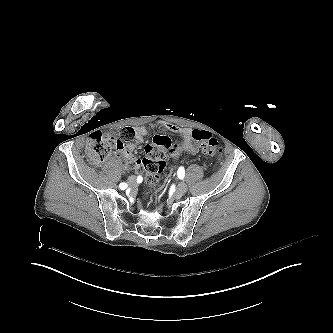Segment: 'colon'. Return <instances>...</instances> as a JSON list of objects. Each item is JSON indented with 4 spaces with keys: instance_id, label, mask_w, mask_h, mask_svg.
Returning <instances> with one entry per match:
<instances>
[{
    "instance_id": "1",
    "label": "colon",
    "mask_w": 333,
    "mask_h": 333,
    "mask_svg": "<svg viewBox=\"0 0 333 333\" xmlns=\"http://www.w3.org/2000/svg\"><path fill=\"white\" fill-rule=\"evenodd\" d=\"M120 134V135H119ZM135 136L132 128H124L120 133L113 131L109 136L107 133H93L86 145V155L93 165L102 163L121 141L128 143ZM121 137V140L119 139ZM188 138L185 136L179 142L173 143L172 139L167 136H155L145 147L146 156L139 162L144 169L145 183L151 190V197L155 198L154 191L159 185L161 174L166 167V155L172 150L175 154L183 147ZM203 152L213 158H219L222 154L221 144L217 139H210L203 146Z\"/></svg>"
}]
</instances>
